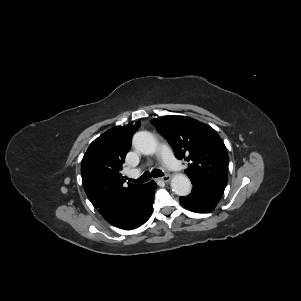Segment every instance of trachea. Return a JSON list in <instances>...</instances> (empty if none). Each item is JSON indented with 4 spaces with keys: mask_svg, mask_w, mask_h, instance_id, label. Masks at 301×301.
Listing matches in <instances>:
<instances>
[{
    "mask_svg": "<svg viewBox=\"0 0 301 301\" xmlns=\"http://www.w3.org/2000/svg\"><path fill=\"white\" fill-rule=\"evenodd\" d=\"M162 176H164V173L161 170L154 169L151 171V173L145 172L141 177L137 179H129V181L133 183H144L149 181L151 177H162Z\"/></svg>",
    "mask_w": 301,
    "mask_h": 301,
    "instance_id": "1",
    "label": "trachea"
}]
</instances>
